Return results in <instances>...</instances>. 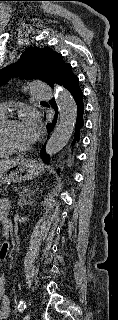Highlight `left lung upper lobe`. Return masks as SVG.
I'll use <instances>...</instances> for the list:
<instances>
[{
    "label": "left lung upper lobe",
    "mask_w": 118,
    "mask_h": 320,
    "mask_svg": "<svg viewBox=\"0 0 118 320\" xmlns=\"http://www.w3.org/2000/svg\"><path fill=\"white\" fill-rule=\"evenodd\" d=\"M71 68L62 55L51 48L29 47L16 63L0 71V86L9 78L19 76L26 79L39 78L53 87V83L59 84Z\"/></svg>",
    "instance_id": "obj_1"
}]
</instances>
